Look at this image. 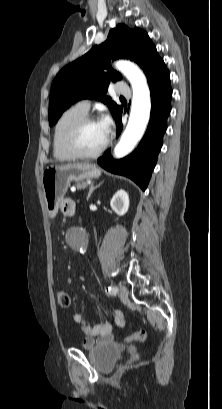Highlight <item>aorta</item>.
Wrapping results in <instances>:
<instances>
[{
    "instance_id": "762f6f07",
    "label": "aorta",
    "mask_w": 222,
    "mask_h": 409,
    "mask_svg": "<svg viewBox=\"0 0 222 409\" xmlns=\"http://www.w3.org/2000/svg\"><path fill=\"white\" fill-rule=\"evenodd\" d=\"M116 68L129 80L133 89L132 105L128 124L120 141L114 148V157L128 155L143 137L150 118L151 100L146 77L133 63L118 61ZM74 236L78 240V249H82L85 233L76 229Z\"/></svg>"
}]
</instances>
